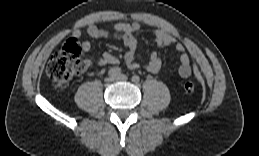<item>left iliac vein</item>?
Here are the masks:
<instances>
[{"mask_svg":"<svg viewBox=\"0 0 259 156\" xmlns=\"http://www.w3.org/2000/svg\"><path fill=\"white\" fill-rule=\"evenodd\" d=\"M127 79L128 77L124 74H120L115 78V80H119V81H126Z\"/></svg>","mask_w":259,"mask_h":156,"instance_id":"1","label":"left iliac vein"}]
</instances>
